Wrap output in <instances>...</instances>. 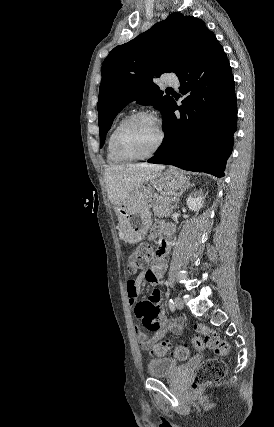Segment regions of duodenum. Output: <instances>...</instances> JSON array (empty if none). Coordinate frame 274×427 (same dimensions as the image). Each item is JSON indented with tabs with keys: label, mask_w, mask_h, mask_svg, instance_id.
<instances>
[{
	"label": "duodenum",
	"mask_w": 274,
	"mask_h": 427,
	"mask_svg": "<svg viewBox=\"0 0 274 427\" xmlns=\"http://www.w3.org/2000/svg\"><path fill=\"white\" fill-rule=\"evenodd\" d=\"M171 232H172V228L170 226L165 227L161 230L160 245L156 252L157 257L161 258L169 252L170 245H171V240H170Z\"/></svg>",
	"instance_id": "410a0bca"
}]
</instances>
